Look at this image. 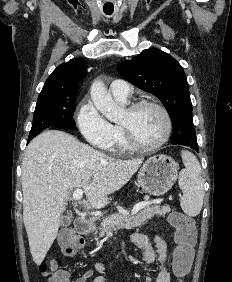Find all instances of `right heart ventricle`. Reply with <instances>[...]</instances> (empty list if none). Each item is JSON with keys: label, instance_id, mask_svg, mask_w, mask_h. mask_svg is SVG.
<instances>
[{"label": "right heart ventricle", "instance_id": "obj_1", "mask_svg": "<svg viewBox=\"0 0 232 282\" xmlns=\"http://www.w3.org/2000/svg\"><path fill=\"white\" fill-rule=\"evenodd\" d=\"M113 130H114V142L113 145L111 147V149L114 152H119V153H123L125 151H127L129 148L127 146V144L125 143V140L123 138V134L121 131V128L119 125H112Z\"/></svg>", "mask_w": 232, "mask_h": 282}]
</instances>
